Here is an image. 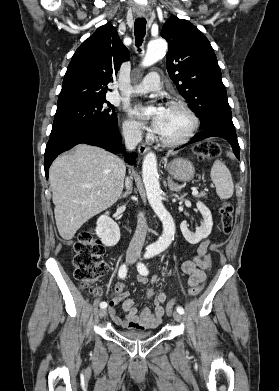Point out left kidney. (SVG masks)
<instances>
[{
  "instance_id": "left-kidney-1",
  "label": "left kidney",
  "mask_w": 279,
  "mask_h": 391,
  "mask_svg": "<svg viewBox=\"0 0 279 391\" xmlns=\"http://www.w3.org/2000/svg\"><path fill=\"white\" fill-rule=\"evenodd\" d=\"M196 206L203 217L201 226L197 227L195 232H191L189 231L188 225L185 221L180 225V229L185 240L191 244H197L202 239L207 238L210 235L213 226L212 215L209 208L206 207L202 202H197Z\"/></svg>"
}]
</instances>
